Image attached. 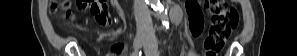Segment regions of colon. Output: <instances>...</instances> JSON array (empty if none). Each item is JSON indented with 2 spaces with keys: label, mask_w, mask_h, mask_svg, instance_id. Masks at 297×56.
Instances as JSON below:
<instances>
[{
  "label": "colon",
  "mask_w": 297,
  "mask_h": 56,
  "mask_svg": "<svg viewBox=\"0 0 297 56\" xmlns=\"http://www.w3.org/2000/svg\"><path fill=\"white\" fill-rule=\"evenodd\" d=\"M77 4L82 9L88 8L99 23L106 24L109 22L106 1L78 0ZM206 5L211 14V27L204 42L205 56H217L230 34L236 29L239 14L234 6L224 0H208ZM58 10H61L64 16L70 17V2L53 1L51 3V11L56 12Z\"/></svg>",
  "instance_id": "obj_1"
}]
</instances>
